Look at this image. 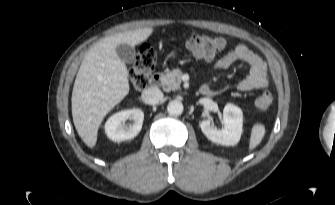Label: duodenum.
I'll return each mask as SVG.
<instances>
[{"instance_id": "410a0bca", "label": "duodenum", "mask_w": 335, "mask_h": 205, "mask_svg": "<svg viewBox=\"0 0 335 205\" xmlns=\"http://www.w3.org/2000/svg\"><path fill=\"white\" fill-rule=\"evenodd\" d=\"M160 79H161L160 73H158V72L154 73L150 78L151 86H158L159 83H160ZM199 92H200V94L205 95V96H210V95L214 94V91L206 85L202 86L199 89Z\"/></svg>"}]
</instances>
